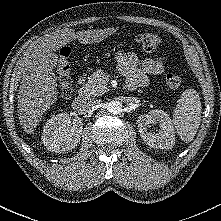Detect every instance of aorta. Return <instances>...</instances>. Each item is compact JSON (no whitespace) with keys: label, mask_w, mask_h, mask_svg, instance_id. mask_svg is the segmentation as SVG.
<instances>
[{"label":"aorta","mask_w":221,"mask_h":221,"mask_svg":"<svg viewBox=\"0 0 221 221\" xmlns=\"http://www.w3.org/2000/svg\"><path fill=\"white\" fill-rule=\"evenodd\" d=\"M107 109L111 114L117 115L122 111V104L119 101H111L108 103Z\"/></svg>","instance_id":"1"}]
</instances>
